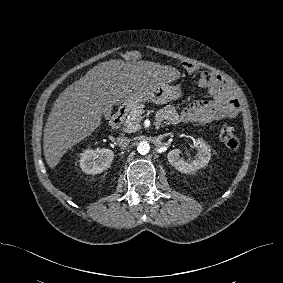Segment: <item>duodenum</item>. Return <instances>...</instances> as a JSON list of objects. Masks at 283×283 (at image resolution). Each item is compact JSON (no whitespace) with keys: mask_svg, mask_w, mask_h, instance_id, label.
<instances>
[{"mask_svg":"<svg viewBox=\"0 0 283 283\" xmlns=\"http://www.w3.org/2000/svg\"><path fill=\"white\" fill-rule=\"evenodd\" d=\"M126 114H127V104H124V105L120 106L117 109V111L114 113V115L111 117L110 125L113 128L119 127L121 125V123L123 122ZM156 123H157V125H160L161 119L156 117Z\"/></svg>","mask_w":283,"mask_h":283,"instance_id":"obj_1","label":"duodenum"}]
</instances>
